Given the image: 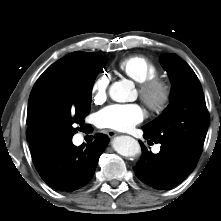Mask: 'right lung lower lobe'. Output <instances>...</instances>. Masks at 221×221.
Wrapping results in <instances>:
<instances>
[{"label": "right lung lower lobe", "mask_w": 221, "mask_h": 221, "mask_svg": "<svg viewBox=\"0 0 221 221\" xmlns=\"http://www.w3.org/2000/svg\"><path fill=\"white\" fill-rule=\"evenodd\" d=\"M108 142L107 135L97 133L94 142L86 147H76L71 140L31 151V154L34 165L46 184L56 190L73 191L91 180Z\"/></svg>", "instance_id": "1"}]
</instances>
